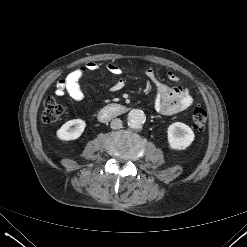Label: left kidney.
Returning a JSON list of instances; mask_svg holds the SVG:
<instances>
[{
    "label": "left kidney",
    "mask_w": 247,
    "mask_h": 247,
    "mask_svg": "<svg viewBox=\"0 0 247 247\" xmlns=\"http://www.w3.org/2000/svg\"><path fill=\"white\" fill-rule=\"evenodd\" d=\"M169 147L173 150H184L195 139L192 129L184 123L171 124L167 130Z\"/></svg>",
    "instance_id": "5707ae66"
}]
</instances>
